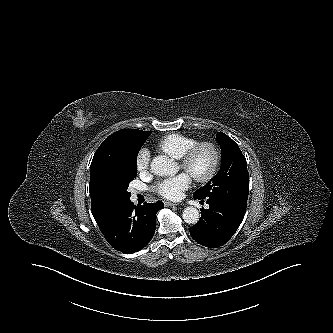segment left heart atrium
Segmentation results:
<instances>
[{
  "instance_id": "39dd6f15",
  "label": "left heart atrium",
  "mask_w": 333,
  "mask_h": 333,
  "mask_svg": "<svg viewBox=\"0 0 333 333\" xmlns=\"http://www.w3.org/2000/svg\"><path fill=\"white\" fill-rule=\"evenodd\" d=\"M191 185V177L188 173H180L176 176L166 177L159 180L154 190L161 196L167 199H179L183 192Z\"/></svg>"
}]
</instances>
